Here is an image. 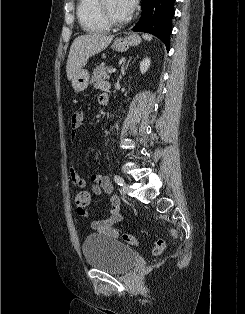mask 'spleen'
I'll use <instances>...</instances> for the list:
<instances>
[{"mask_svg": "<svg viewBox=\"0 0 245 314\" xmlns=\"http://www.w3.org/2000/svg\"><path fill=\"white\" fill-rule=\"evenodd\" d=\"M143 36V38L145 39V40H147V41H151L152 40V35H150V34H143L142 35Z\"/></svg>", "mask_w": 245, "mask_h": 314, "instance_id": "1", "label": "spleen"}]
</instances>
